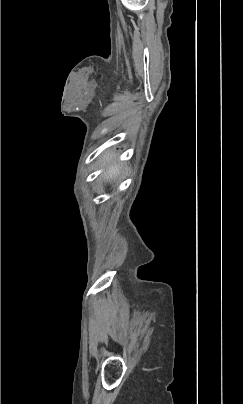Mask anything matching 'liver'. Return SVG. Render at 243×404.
I'll use <instances>...</instances> for the list:
<instances>
[{
	"mask_svg": "<svg viewBox=\"0 0 243 404\" xmlns=\"http://www.w3.org/2000/svg\"><path fill=\"white\" fill-rule=\"evenodd\" d=\"M114 160V156H111V154H104L103 156V164L102 166H106V164H110ZM120 164H115V166H110L106 172H104L103 176L105 180H116L120 174L121 168H119Z\"/></svg>",
	"mask_w": 243,
	"mask_h": 404,
	"instance_id": "6515ba94",
	"label": "liver"
}]
</instances>
